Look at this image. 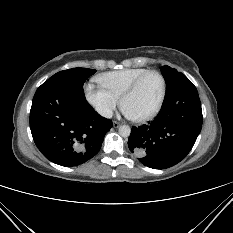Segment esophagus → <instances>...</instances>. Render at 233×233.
Masks as SVG:
<instances>
[{
    "label": "esophagus",
    "mask_w": 233,
    "mask_h": 233,
    "mask_svg": "<svg viewBox=\"0 0 233 233\" xmlns=\"http://www.w3.org/2000/svg\"><path fill=\"white\" fill-rule=\"evenodd\" d=\"M120 126V123L117 121H113V127L118 128Z\"/></svg>",
    "instance_id": "1"
}]
</instances>
